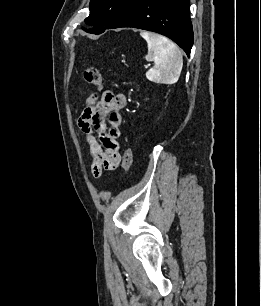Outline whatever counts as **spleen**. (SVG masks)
<instances>
[{"label":"spleen","instance_id":"1","mask_svg":"<svg viewBox=\"0 0 261 306\" xmlns=\"http://www.w3.org/2000/svg\"><path fill=\"white\" fill-rule=\"evenodd\" d=\"M140 35L148 45V54L145 59L153 61L155 64L152 69L146 72L147 79L168 85L176 83L183 67L180 49L162 35L147 31H141Z\"/></svg>","mask_w":261,"mask_h":306}]
</instances>
